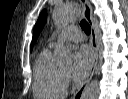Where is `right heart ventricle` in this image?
<instances>
[{
    "mask_svg": "<svg viewBox=\"0 0 128 99\" xmlns=\"http://www.w3.org/2000/svg\"><path fill=\"white\" fill-rule=\"evenodd\" d=\"M65 94L61 70L53 63L51 50L44 49L34 66L33 96L36 99H61Z\"/></svg>",
    "mask_w": 128,
    "mask_h": 99,
    "instance_id": "e07e8e85",
    "label": "right heart ventricle"
}]
</instances>
